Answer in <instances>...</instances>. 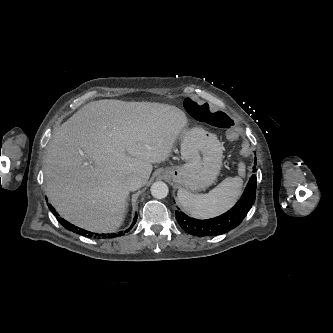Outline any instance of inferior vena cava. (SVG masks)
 Instances as JSON below:
<instances>
[{
    "mask_svg": "<svg viewBox=\"0 0 333 333\" xmlns=\"http://www.w3.org/2000/svg\"><path fill=\"white\" fill-rule=\"evenodd\" d=\"M125 185L127 190L136 191L142 186V180L137 176H130L127 178Z\"/></svg>",
    "mask_w": 333,
    "mask_h": 333,
    "instance_id": "obj_1",
    "label": "inferior vena cava"
}]
</instances>
